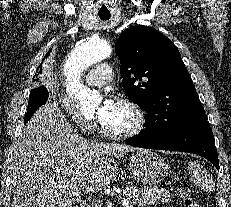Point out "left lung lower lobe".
<instances>
[{"mask_svg":"<svg viewBox=\"0 0 231 207\" xmlns=\"http://www.w3.org/2000/svg\"><path fill=\"white\" fill-rule=\"evenodd\" d=\"M125 142L142 148L197 154L208 159L219 170L215 140L207 121L188 125L168 137L152 138L140 133Z\"/></svg>","mask_w":231,"mask_h":207,"instance_id":"left-lung-lower-lobe-1","label":"left lung lower lobe"}]
</instances>
